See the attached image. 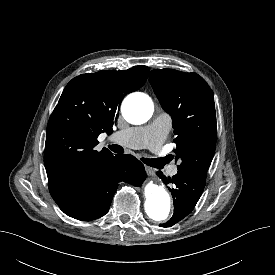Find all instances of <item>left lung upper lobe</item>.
Segmentation results:
<instances>
[{
    "label": "left lung upper lobe",
    "mask_w": 275,
    "mask_h": 275,
    "mask_svg": "<svg viewBox=\"0 0 275 275\" xmlns=\"http://www.w3.org/2000/svg\"><path fill=\"white\" fill-rule=\"evenodd\" d=\"M149 80L162 108L172 118L178 171L206 178L217 138L211 88L198 74L174 69L152 70Z\"/></svg>",
    "instance_id": "obj_1"
}]
</instances>
